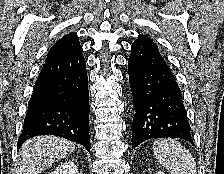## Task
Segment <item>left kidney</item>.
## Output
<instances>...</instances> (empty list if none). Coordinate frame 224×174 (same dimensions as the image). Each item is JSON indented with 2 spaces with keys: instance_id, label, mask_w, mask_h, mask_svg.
<instances>
[{
  "instance_id": "5707ae66",
  "label": "left kidney",
  "mask_w": 224,
  "mask_h": 174,
  "mask_svg": "<svg viewBox=\"0 0 224 174\" xmlns=\"http://www.w3.org/2000/svg\"><path fill=\"white\" fill-rule=\"evenodd\" d=\"M156 174H164L162 171H157Z\"/></svg>"
}]
</instances>
